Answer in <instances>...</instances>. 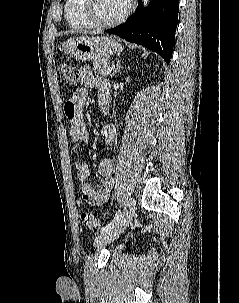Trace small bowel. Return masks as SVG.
Instances as JSON below:
<instances>
[{
	"instance_id": "1",
	"label": "small bowel",
	"mask_w": 239,
	"mask_h": 303,
	"mask_svg": "<svg viewBox=\"0 0 239 303\" xmlns=\"http://www.w3.org/2000/svg\"><path fill=\"white\" fill-rule=\"evenodd\" d=\"M82 87L64 104V113L69 122L68 134L74 143V150L89 141L90 135L82 117L83 108L88 100L89 89H95L98 93V106L101 110L109 109L112 102L111 91L108 82L96 77L88 66L80 70ZM104 143L110 146L116 141L117 130L113 125H105L102 128ZM76 176L81 182L83 199L92 205L102 206L110 197L113 186V165L109 158H105L98 164V173L102 177L98 187L86 182L89 176V167L86 163L75 161Z\"/></svg>"
}]
</instances>
